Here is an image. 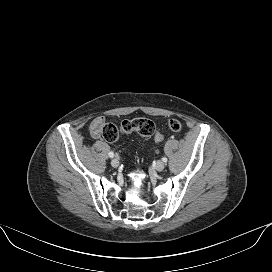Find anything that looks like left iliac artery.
Returning a JSON list of instances; mask_svg holds the SVG:
<instances>
[{"mask_svg":"<svg viewBox=\"0 0 272 272\" xmlns=\"http://www.w3.org/2000/svg\"><path fill=\"white\" fill-rule=\"evenodd\" d=\"M162 161L166 163V162H167V158H166V157H163V158H162Z\"/></svg>","mask_w":272,"mask_h":272,"instance_id":"1","label":"left iliac artery"}]
</instances>
